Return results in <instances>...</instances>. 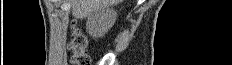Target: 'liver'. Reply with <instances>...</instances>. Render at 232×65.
Instances as JSON below:
<instances>
[{"mask_svg": "<svg viewBox=\"0 0 232 65\" xmlns=\"http://www.w3.org/2000/svg\"><path fill=\"white\" fill-rule=\"evenodd\" d=\"M123 0H70L72 14L76 18H86L95 11L116 5Z\"/></svg>", "mask_w": 232, "mask_h": 65, "instance_id": "liver-1", "label": "liver"}]
</instances>
